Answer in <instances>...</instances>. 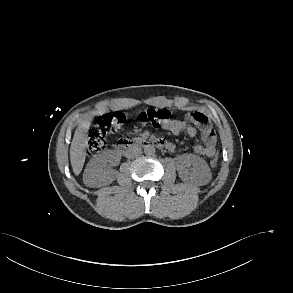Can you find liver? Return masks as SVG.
<instances>
[{"instance_id": "6515ba94", "label": "liver", "mask_w": 293, "mask_h": 293, "mask_svg": "<svg viewBox=\"0 0 293 293\" xmlns=\"http://www.w3.org/2000/svg\"><path fill=\"white\" fill-rule=\"evenodd\" d=\"M90 120L82 122L75 130L70 147V161L75 175H79L83 169L86 151L88 147V127Z\"/></svg>"}]
</instances>
